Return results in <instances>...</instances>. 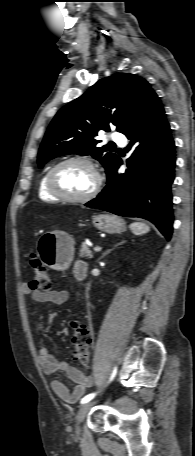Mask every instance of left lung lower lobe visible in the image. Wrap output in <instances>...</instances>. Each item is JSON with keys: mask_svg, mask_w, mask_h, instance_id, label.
<instances>
[{"mask_svg": "<svg viewBox=\"0 0 195 456\" xmlns=\"http://www.w3.org/2000/svg\"><path fill=\"white\" fill-rule=\"evenodd\" d=\"M125 135L141 145L128 160L130 169L118 172V158L107 174V185L85 206L125 217H140L153 222L171 238L173 224L171 183L174 180L175 144L165 111L155 96L137 115Z\"/></svg>", "mask_w": 195, "mask_h": 456, "instance_id": "1", "label": "left lung lower lobe"}]
</instances>
